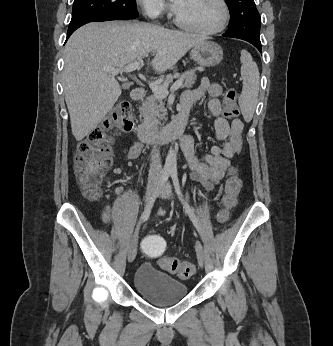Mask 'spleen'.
Wrapping results in <instances>:
<instances>
[{
	"label": "spleen",
	"mask_w": 333,
	"mask_h": 346,
	"mask_svg": "<svg viewBox=\"0 0 333 346\" xmlns=\"http://www.w3.org/2000/svg\"><path fill=\"white\" fill-rule=\"evenodd\" d=\"M243 89L238 97L239 106L243 117L250 121L253 117L259 93L260 77L257 64L246 50L241 51Z\"/></svg>",
	"instance_id": "obj_1"
}]
</instances>
